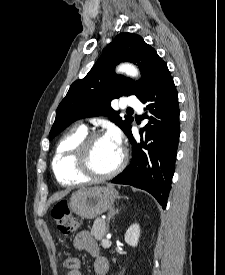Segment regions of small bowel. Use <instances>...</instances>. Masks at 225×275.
I'll use <instances>...</instances> for the list:
<instances>
[{"instance_id": "1", "label": "small bowel", "mask_w": 225, "mask_h": 275, "mask_svg": "<svg viewBox=\"0 0 225 275\" xmlns=\"http://www.w3.org/2000/svg\"><path fill=\"white\" fill-rule=\"evenodd\" d=\"M74 248L79 251H85L94 258L93 271L95 275H105L108 271V261L99 256V248L94 238L88 231L79 232L73 240ZM67 275H81L80 271L71 272Z\"/></svg>"}]
</instances>
